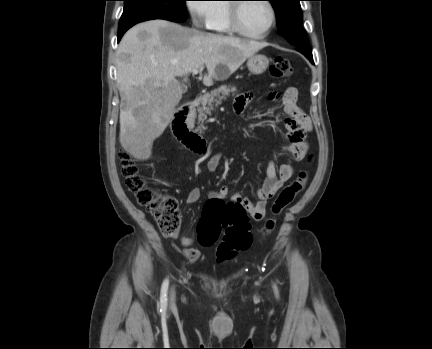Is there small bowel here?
Listing matches in <instances>:
<instances>
[{"label":"small bowel","instance_id":"c3829d8e","mask_svg":"<svg viewBox=\"0 0 432 349\" xmlns=\"http://www.w3.org/2000/svg\"><path fill=\"white\" fill-rule=\"evenodd\" d=\"M297 89L290 87L283 93H272L270 99L280 101L283 106V112L286 115L285 126L287 129L286 140L287 144L283 147V151L291 155L294 161H301L306 156L309 145L306 140L307 133L313 128L310 117L304 113L297 104ZM254 95L251 92H245L238 95L234 101V111L241 114L246 106L251 102ZM222 159V153L218 152L211 156L207 163L209 171H215ZM293 167L288 163L280 165L279 168L271 161L266 168V176L264 183L257 190V201L252 202L250 199L241 196L238 193H231L228 186H222L218 191H211L209 196L211 200H224L230 196L231 201L241 203L251 219L261 221L266 215L267 201L271 199L282 186L292 177ZM201 198V190L193 188L187 195L186 203L192 205L197 203ZM181 244L184 246V254L192 263L199 260L201 253L199 250L191 247L193 239L189 237H181Z\"/></svg>","mask_w":432,"mask_h":349}]
</instances>
